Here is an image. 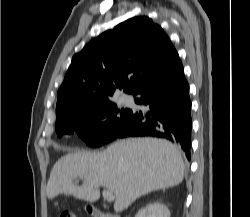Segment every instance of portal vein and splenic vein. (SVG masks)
I'll return each instance as SVG.
<instances>
[{"instance_id":"1","label":"portal vein and splenic vein","mask_w":250,"mask_h":217,"mask_svg":"<svg viewBox=\"0 0 250 217\" xmlns=\"http://www.w3.org/2000/svg\"><path fill=\"white\" fill-rule=\"evenodd\" d=\"M102 196L107 202H112L115 199L113 192L110 190H103Z\"/></svg>"}]
</instances>
